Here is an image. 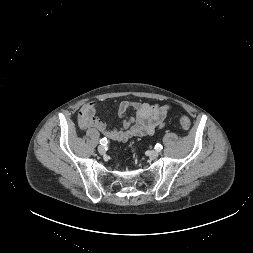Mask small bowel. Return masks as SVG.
I'll return each instance as SVG.
<instances>
[{
  "instance_id": "1",
  "label": "small bowel",
  "mask_w": 253,
  "mask_h": 253,
  "mask_svg": "<svg viewBox=\"0 0 253 253\" xmlns=\"http://www.w3.org/2000/svg\"><path fill=\"white\" fill-rule=\"evenodd\" d=\"M99 102L90 101L82 106L78 113V125L81 129L94 128L106 138L126 142L133 137L154 135L164 127L169 106L146 102L122 101L118 104V115L124 120L121 128L110 129L107 124L97 118ZM128 112L134 116L128 117Z\"/></svg>"
}]
</instances>
